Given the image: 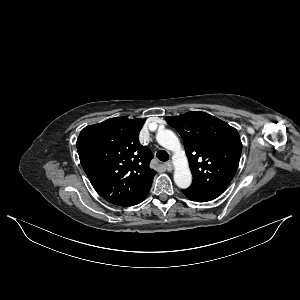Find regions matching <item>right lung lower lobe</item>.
<instances>
[{
  "label": "right lung lower lobe",
  "instance_id": "obj_1",
  "mask_svg": "<svg viewBox=\"0 0 300 300\" xmlns=\"http://www.w3.org/2000/svg\"><path fill=\"white\" fill-rule=\"evenodd\" d=\"M149 190L142 194L125 196V197L119 198L117 200L111 201L110 203H112L114 205L122 206V207L133 206V205L141 203L146 198Z\"/></svg>",
  "mask_w": 300,
  "mask_h": 300
}]
</instances>
